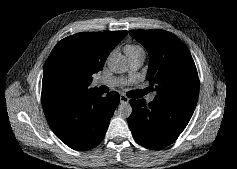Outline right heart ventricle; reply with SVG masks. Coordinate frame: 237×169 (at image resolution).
I'll return each mask as SVG.
<instances>
[{"label":"right heart ventricle","mask_w":237,"mask_h":169,"mask_svg":"<svg viewBox=\"0 0 237 169\" xmlns=\"http://www.w3.org/2000/svg\"><path fill=\"white\" fill-rule=\"evenodd\" d=\"M124 50L129 59H132L138 56H145V51L143 47L138 44L126 45Z\"/></svg>","instance_id":"obj_1"}]
</instances>
